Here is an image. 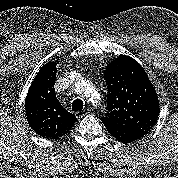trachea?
<instances>
[{"label":"trachea","instance_id":"trachea-1","mask_svg":"<svg viewBox=\"0 0 178 178\" xmlns=\"http://www.w3.org/2000/svg\"><path fill=\"white\" fill-rule=\"evenodd\" d=\"M83 101L81 99H75L72 102V111H81L83 109Z\"/></svg>","mask_w":178,"mask_h":178}]
</instances>
